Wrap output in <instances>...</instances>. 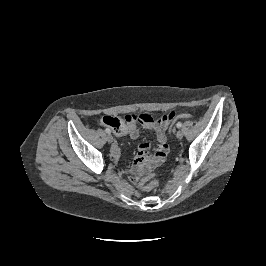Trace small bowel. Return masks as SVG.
<instances>
[{"mask_svg": "<svg viewBox=\"0 0 266 266\" xmlns=\"http://www.w3.org/2000/svg\"><path fill=\"white\" fill-rule=\"evenodd\" d=\"M176 119L177 114L173 111L159 118H154L147 114H131L122 118L105 116L102 119V124L110 127L116 135H129L133 139H136L139 135L135 125L137 122L155 131L157 146L153 154L150 153L151 145L149 143H140L138 145L137 155L130 167V171L133 174L131 176L133 182H137L142 173L152 170L164 161L169 150L165 131ZM112 152L114 157L117 158L119 155L118 146L115 145Z\"/></svg>", "mask_w": 266, "mask_h": 266, "instance_id": "obj_1", "label": "small bowel"}]
</instances>
